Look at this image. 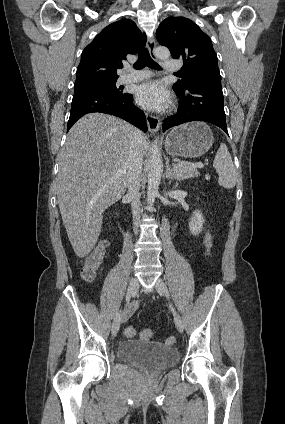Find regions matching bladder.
Segmentation results:
<instances>
[{
    "label": "bladder",
    "mask_w": 285,
    "mask_h": 424,
    "mask_svg": "<svg viewBox=\"0 0 285 424\" xmlns=\"http://www.w3.org/2000/svg\"><path fill=\"white\" fill-rule=\"evenodd\" d=\"M118 357L130 365L157 372L174 365L179 354L160 342L129 339L119 344Z\"/></svg>",
    "instance_id": "1"
}]
</instances>
